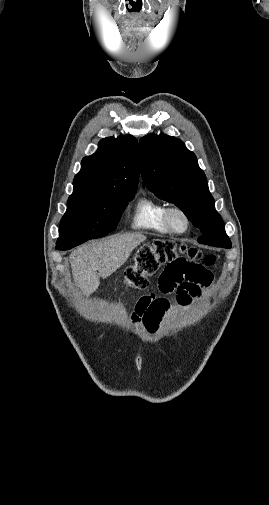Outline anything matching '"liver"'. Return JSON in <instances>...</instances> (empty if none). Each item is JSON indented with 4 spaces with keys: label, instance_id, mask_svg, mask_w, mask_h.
I'll return each instance as SVG.
<instances>
[{
    "label": "liver",
    "instance_id": "6515ba94",
    "mask_svg": "<svg viewBox=\"0 0 269 505\" xmlns=\"http://www.w3.org/2000/svg\"><path fill=\"white\" fill-rule=\"evenodd\" d=\"M145 240L143 234L127 233L76 249L69 256L74 282L89 296L98 289L100 277L107 278L119 269Z\"/></svg>",
    "mask_w": 269,
    "mask_h": 505
}]
</instances>
